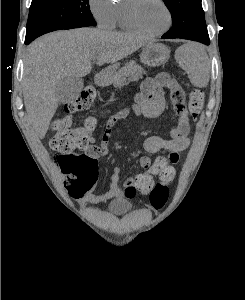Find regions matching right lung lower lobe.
<instances>
[{
	"mask_svg": "<svg viewBox=\"0 0 245 300\" xmlns=\"http://www.w3.org/2000/svg\"><path fill=\"white\" fill-rule=\"evenodd\" d=\"M30 42V40H25V44H29Z\"/></svg>",
	"mask_w": 245,
	"mask_h": 300,
	"instance_id": "obj_1",
	"label": "right lung lower lobe"
}]
</instances>
